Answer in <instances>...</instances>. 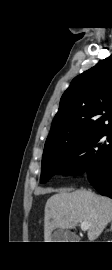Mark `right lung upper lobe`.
<instances>
[{
	"label": "right lung upper lobe",
	"instance_id": "1",
	"mask_svg": "<svg viewBox=\"0 0 112 270\" xmlns=\"http://www.w3.org/2000/svg\"><path fill=\"white\" fill-rule=\"evenodd\" d=\"M109 125L112 126V54L72 80L61 97L45 147Z\"/></svg>",
	"mask_w": 112,
	"mask_h": 270
}]
</instances>
